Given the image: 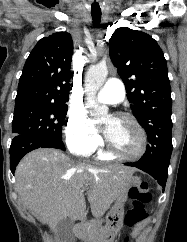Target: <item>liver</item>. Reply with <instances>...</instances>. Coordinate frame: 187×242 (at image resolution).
I'll use <instances>...</instances> for the list:
<instances>
[{"label":"liver","instance_id":"6515ba94","mask_svg":"<svg viewBox=\"0 0 187 242\" xmlns=\"http://www.w3.org/2000/svg\"><path fill=\"white\" fill-rule=\"evenodd\" d=\"M134 172L121 165L92 168L76 164L59 150L37 149L17 166L15 186L23 205L56 230L64 219L75 222L85 216L84 190L88 191L92 215L102 217L113 201L127 191Z\"/></svg>","mask_w":187,"mask_h":242}]
</instances>
